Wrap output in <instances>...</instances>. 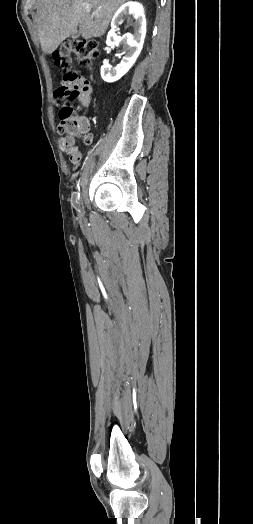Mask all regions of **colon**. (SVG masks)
<instances>
[{"label": "colon", "instance_id": "1", "mask_svg": "<svg viewBox=\"0 0 253 524\" xmlns=\"http://www.w3.org/2000/svg\"><path fill=\"white\" fill-rule=\"evenodd\" d=\"M98 54L99 46L96 41L70 39L64 42L54 55L56 66L64 74L58 87L64 92L59 109L58 132L72 145H74L76 138H81L85 144L91 142V137L88 134H83L82 122H80L75 109V101L78 96H86L93 91V81L73 70V62L76 59L81 66L89 68L92 60Z\"/></svg>", "mask_w": 253, "mask_h": 524}]
</instances>
